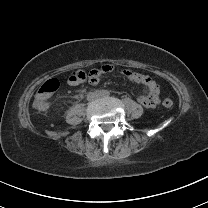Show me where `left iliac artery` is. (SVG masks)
Masks as SVG:
<instances>
[{
	"label": "left iliac artery",
	"instance_id": "1",
	"mask_svg": "<svg viewBox=\"0 0 208 208\" xmlns=\"http://www.w3.org/2000/svg\"><path fill=\"white\" fill-rule=\"evenodd\" d=\"M106 95L108 96L109 95V92H107Z\"/></svg>",
	"mask_w": 208,
	"mask_h": 208
}]
</instances>
